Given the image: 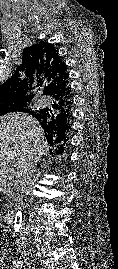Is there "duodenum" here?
Wrapping results in <instances>:
<instances>
[{"mask_svg": "<svg viewBox=\"0 0 118 269\" xmlns=\"http://www.w3.org/2000/svg\"><path fill=\"white\" fill-rule=\"evenodd\" d=\"M13 217L14 211L12 209H9L1 216V220L6 226H9L13 221Z\"/></svg>", "mask_w": 118, "mask_h": 269, "instance_id": "1", "label": "duodenum"}]
</instances>
